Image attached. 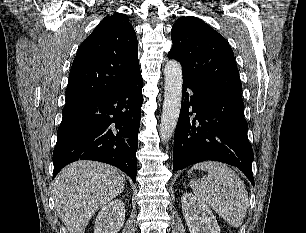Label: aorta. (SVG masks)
<instances>
[{
	"label": "aorta",
	"instance_id": "obj_1",
	"mask_svg": "<svg viewBox=\"0 0 306 233\" xmlns=\"http://www.w3.org/2000/svg\"><path fill=\"white\" fill-rule=\"evenodd\" d=\"M165 93L160 123V137L167 142L173 135L180 114L182 100V67L176 60H170L164 68Z\"/></svg>",
	"mask_w": 306,
	"mask_h": 233
}]
</instances>
